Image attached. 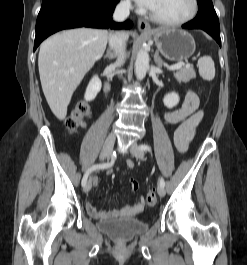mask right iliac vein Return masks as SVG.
Returning a JSON list of instances; mask_svg holds the SVG:
<instances>
[{
	"label": "right iliac vein",
	"instance_id": "1",
	"mask_svg": "<svg viewBox=\"0 0 247 265\" xmlns=\"http://www.w3.org/2000/svg\"><path fill=\"white\" fill-rule=\"evenodd\" d=\"M114 143H115V134L114 133H110L105 142H104V145H103V148H102V151H101V154H100V159L101 160H104L106 158L109 157L111 151H112V148L114 146ZM92 187V182L91 180H89L86 185L84 186V191L86 193H88L90 191Z\"/></svg>",
	"mask_w": 247,
	"mask_h": 265
}]
</instances>
